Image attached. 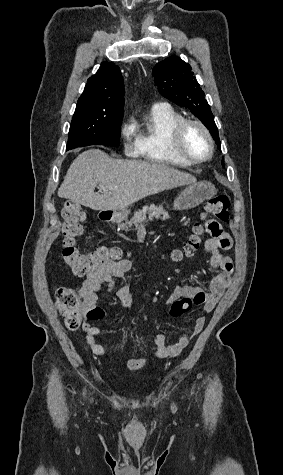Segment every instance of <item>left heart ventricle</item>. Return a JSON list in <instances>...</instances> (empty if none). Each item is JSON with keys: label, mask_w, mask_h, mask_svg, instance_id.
<instances>
[{"label": "left heart ventricle", "mask_w": 283, "mask_h": 475, "mask_svg": "<svg viewBox=\"0 0 283 475\" xmlns=\"http://www.w3.org/2000/svg\"><path fill=\"white\" fill-rule=\"evenodd\" d=\"M165 151L173 158L181 156L202 158L208 154L209 144L201 130L191 125L186 129L181 145L170 142L165 145Z\"/></svg>", "instance_id": "1"}]
</instances>
